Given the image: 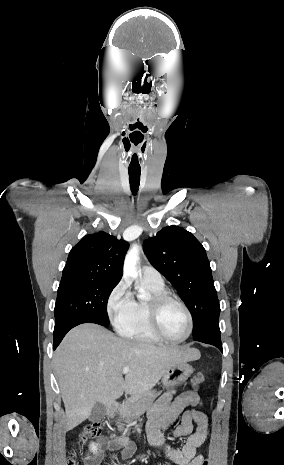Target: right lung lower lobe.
Instances as JSON below:
<instances>
[{
  "label": "right lung lower lobe",
  "mask_w": 284,
  "mask_h": 465,
  "mask_svg": "<svg viewBox=\"0 0 284 465\" xmlns=\"http://www.w3.org/2000/svg\"><path fill=\"white\" fill-rule=\"evenodd\" d=\"M82 323H96V324H99V325H102V326H107V325L101 324L97 320L91 319V318H75V319H71V320L65 322L64 324L54 328L53 349L55 350L57 348V346L62 341L63 337L66 335V333L70 329H72L73 327H75V326H77L79 324H82Z\"/></svg>",
  "instance_id": "obj_1"
}]
</instances>
